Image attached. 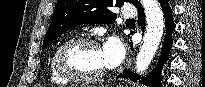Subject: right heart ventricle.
<instances>
[{
    "label": "right heart ventricle",
    "mask_w": 205,
    "mask_h": 87,
    "mask_svg": "<svg viewBox=\"0 0 205 87\" xmlns=\"http://www.w3.org/2000/svg\"><path fill=\"white\" fill-rule=\"evenodd\" d=\"M49 74H50V80L53 84L66 85L68 83L66 79L59 76L57 72L55 71L54 66H53V56L51 57L50 62H49Z\"/></svg>",
    "instance_id": "right-heart-ventricle-1"
}]
</instances>
